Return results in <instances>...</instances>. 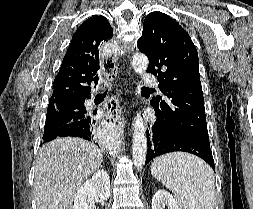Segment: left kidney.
Listing matches in <instances>:
<instances>
[{"label":"left kidney","instance_id":"obj_1","mask_svg":"<svg viewBox=\"0 0 253 209\" xmlns=\"http://www.w3.org/2000/svg\"><path fill=\"white\" fill-rule=\"evenodd\" d=\"M165 206H168V209H181L169 192L158 190L152 198V209H163Z\"/></svg>","mask_w":253,"mask_h":209}]
</instances>
